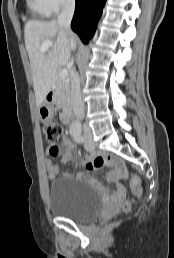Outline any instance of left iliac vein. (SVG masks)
Instances as JSON below:
<instances>
[{"label": "left iliac vein", "instance_id": "obj_1", "mask_svg": "<svg viewBox=\"0 0 174 258\" xmlns=\"http://www.w3.org/2000/svg\"><path fill=\"white\" fill-rule=\"evenodd\" d=\"M84 147L86 150L91 151L95 148L94 142L92 140V134L88 133L85 137Z\"/></svg>", "mask_w": 174, "mask_h": 258}]
</instances>
